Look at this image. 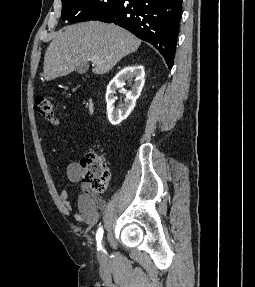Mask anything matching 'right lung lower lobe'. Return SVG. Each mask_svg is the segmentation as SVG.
I'll list each match as a JSON object with an SVG mask.
<instances>
[{"label":"right lung lower lobe","instance_id":"98d812e1","mask_svg":"<svg viewBox=\"0 0 255 287\" xmlns=\"http://www.w3.org/2000/svg\"><path fill=\"white\" fill-rule=\"evenodd\" d=\"M181 12L182 0H123L97 20L119 25L152 44L171 69Z\"/></svg>","mask_w":255,"mask_h":287}]
</instances>
